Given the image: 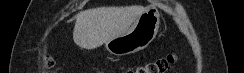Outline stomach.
<instances>
[{"instance_id":"obj_1","label":"stomach","mask_w":244,"mask_h":73,"mask_svg":"<svg viewBox=\"0 0 244 73\" xmlns=\"http://www.w3.org/2000/svg\"><path fill=\"white\" fill-rule=\"evenodd\" d=\"M160 24L156 7H146L133 25L123 34L105 42V48L115 56L136 53L148 47L155 39Z\"/></svg>"}]
</instances>
